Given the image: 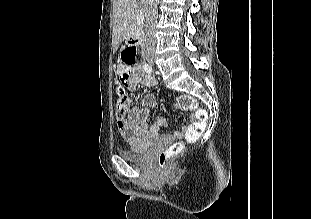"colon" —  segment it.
Returning a JSON list of instances; mask_svg holds the SVG:
<instances>
[{"label":"colon","mask_w":311,"mask_h":219,"mask_svg":"<svg viewBox=\"0 0 311 219\" xmlns=\"http://www.w3.org/2000/svg\"><path fill=\"white\" fill-rule=\"evenodd\" d=\"M126 61L129 64H135L136 56L128 53ZM127 79L121 75L118 80V97L116 103V118L118 121H123L126 117L129 108V99L126 94ZM178 106L185 111L192 112V122L185 129V137L188 142H195L204 132L208 119L207 111L199 108L196 100L190 95H181L178 99ZM182 148L181 143H173L169 148L159 154L158 162L161 169H167L169 161L180 153Z\"/></svg>","instance_id":"5ec220e1"}]
</instances>
